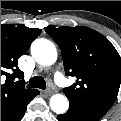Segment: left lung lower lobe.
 Returning a JSON list of instances; mask_svg holds the SVG:
<instances>
[{
	"instance_id": "1",
	"label": "left lung lower lobe",
	"mask_w": 121,
	"mask_h": 121,
	"mask_svg": "<svg viewBox=\"0 0 121 121\" xmlns=\"http://www.w3.org/2000/svg\"><path fill=\"white\" fill-rule=\"evenodd\" d=\"M59 121H99L100 118L85 115L69 109L65 114L57 116Z\"/></svg>"
}]
</instances>
